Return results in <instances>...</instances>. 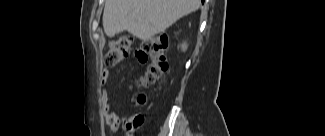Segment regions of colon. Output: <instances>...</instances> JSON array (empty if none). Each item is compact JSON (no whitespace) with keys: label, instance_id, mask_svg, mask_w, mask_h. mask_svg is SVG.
<instances>
[{"label":"colon","instance_id":"1","mask_svg":"<svg viewBox=\"0 0 325 136\" xmlns=\"http://www.w3.org/2000/svg\"><path fill=\"white\" fill-rule=\"evenodd\" d=\"M168 39L165 35H156L147 39L142 48L150 59L142 84L148 85L163 77L168 69L166 50ZM133 50V38L130 35H124L112 41L104 56V64L108 67L115 66L127 58ZM143 97L139 101L143 102Z\"/></svg>","mask_w":325,"mask_h":136}]
</instances>
